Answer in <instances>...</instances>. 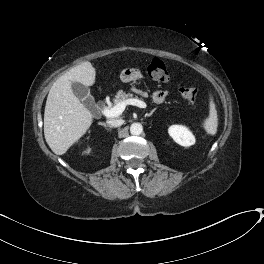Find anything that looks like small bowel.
<instances>
[{"mask_svg": "<svg viewBox=\"0 0 264 264\" xmlns=\"http://www.w3.org/2000/svg\"><path fill=\"white\" fill-rule=\"evenodd\" d=\"M168 94L167 92L164 91H156L153 93V101L155 103H162L165 101V99L167 98Z\"/></svg>", "mask_w": 264, "mask_h": 264, "instance_id": "obj_1", "label": "small bowel"}]
</instances>
